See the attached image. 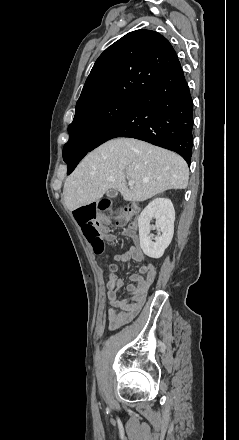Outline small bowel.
I'll list each match as a JSON object with an SVG mask.
<instances>
[{"label":"small bowel","mask_w":239,"mask_h":440,"mask_svg":"<svg viewBox=\"0 0 239 440\" xmlns=\"http://www.w3.org/2000/svg\"><path fill=\"white\" fill-rule=\"evenodd\" d=\"M130 259L142 263L139 273L132 274L129 277L130 283L127 285L126 290L130 298L119 295L123 287V281L116 274H111L108 282L107 295L111 308L107 311V320L110 330H115L129 323L138 314L155 280V267L153 264L145 261L137 245H132L125 252L114 256L116 262H126ZM116 270L115 267L114 271Z\"/></svg>","instance_id":"small-bowel-1"}]
</instances>
